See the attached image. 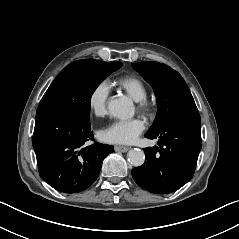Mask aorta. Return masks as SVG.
I'll return each mask as SVG.
<instances>
[{
    "label": "aorta",
    "instance_id": "aorta-1",
    "mask_svg": "<svg viewBox=\"0 0 239 239\" xmlns=\"http://www.w3.org/2000/svg\"><path fill=\"white\" fill-rule=\"evenodd\" d=\"M107 108L110 115L122 120L131 118L135 111L132 100L126 96L109 100ZM128 160L133 166H142L145 162V154L141 150L132 149L128 152Z\"/></svg>",
    "mask_w": 239,
    "mask_h": 239
}]
</instances>
